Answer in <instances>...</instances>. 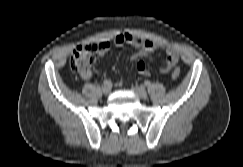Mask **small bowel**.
Here are the masks:
<instances>
[{"label": "small bowel", "mask_w": 243, "mask_h": 167, "mask_svg": "<svg viewBox=\"0 0 243 167\" xmlns=\"http://www.w3.org/2000/svg\"><path fill=\"white\" fill-rule=\"evenodd\" d=\"M120 46L123 44L132 45L137 49L131 55V59L136 61V69L137 71L144 75L148 76L150 71L147 69L143 58L146 57L153 50L160 48L166 52V57L163 65L161 66L162 73H169L173 67L177 64L179 55L175 48H173L169 43L166 42H156L147 38H143L131 33H121L115 36L113 42L103 41L98 44V54L99 56L105 55L111 46ZM90 74L84 78H89Z\"/></svg>", "instance_id": "small-bowel-1"}]
</instances>
